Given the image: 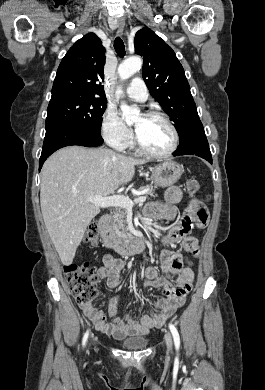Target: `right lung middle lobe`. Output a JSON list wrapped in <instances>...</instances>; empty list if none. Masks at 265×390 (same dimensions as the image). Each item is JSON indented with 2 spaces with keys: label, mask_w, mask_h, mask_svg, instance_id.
<instances>
[{
  "label": "right lung middle lobe",
  "mask_w": 265,
  "mask_h": 390,
  "mask_svg": "<svg viewBox=\"0 0 265 390\" xmlns=\"http://www.w3.org/2000/svg\"><path fill=\"white\" fill-rule=\"evenodd\" d=\"M107 100L89 96H67L50 100L46 124L70 123L101 133V118Z\"/></svg>",
  "instance_id": "right-lung-middle-lobe-1"
}]
</instances>
